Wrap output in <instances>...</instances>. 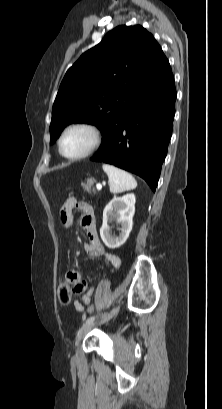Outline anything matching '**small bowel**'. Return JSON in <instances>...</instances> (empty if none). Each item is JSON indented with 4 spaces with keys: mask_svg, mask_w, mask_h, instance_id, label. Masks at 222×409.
<instances>
[{
    "mask_svg": "<svg viewBox=\"0 0 222 409\" xmlns=\"http://www.w3.org/2000/svg\"><path fill=\"white\" fill-rule=\"evenodd\" d=\"M77 208L81 215L77 224L84 230L88 241L84 243L85 252L93 258L104 257L111 265L112 270L117 269L120 266V258L113 253H109L105 250L96 228L95 215L93 207L86 201H77L74 197H69L60 210V216L63 225L66 228H71L74 225L73 210ZM76 269H68L65 280L70 282L74 287L72 289L73 297H81L79 300H75L73 305L77 312H83L88 304H91V298L94 294V288L87 289L86 283L80 280V276Z\"/></svg>",
    "mask_w": 222,
    "mask_h": 409,
    "instance_id": "1",
    "label": "small bowel"
}]
</instances>
